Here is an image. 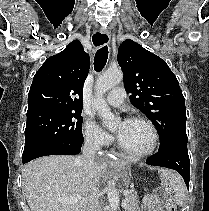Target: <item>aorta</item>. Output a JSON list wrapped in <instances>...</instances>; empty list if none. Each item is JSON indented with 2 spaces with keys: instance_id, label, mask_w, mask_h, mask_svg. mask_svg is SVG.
Segmentation results:
<instances>
[{
  "instance_id": "762f6f07",
  "label": "aorta",
  "mask_w": 209,
  "mask_h": 211,
  "mask_svg": "<svg viewBox=\"0 0 209 211\" xmlns=\"http://www.w3.org/2000/svg\"><path fill=\"white\" fill-rule=\"evenodd\" d=\"M122 80L123 73L120 69H110L98 76L95 85L96 98L93 103V108L97 111L103 123L110 129L116 125L117 120L104 100V95ZM106 191L112 211H117L120 199L119 192L114 186V183H108Z\"/></svg>"
}]
</instances>
